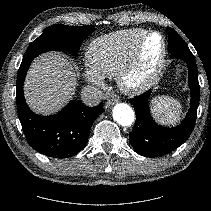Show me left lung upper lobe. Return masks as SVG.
Here are the masks:
<instances>
[{
    "mask_svg": "<svg viewBox=\"0 0 211 211\" xmlns=\"http://www.w3.org/2000/svg\"><path fill=\"white\" fill-rule=\"evenodd\" d=\"M167 33H177L176 31H174L173 29L171 28H168L167 29ZM178 34V33H177ZM182 48H188V46L186 45V43L184 41H182Z\"/></svg>",
    "mask_w": 211,
    "mask_h": 211,
    "instance_id": "obj_1",
    "label": "left lung upper lobe"
}]
</instances>
